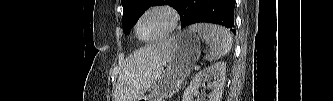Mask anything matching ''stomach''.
Instances as JSON below:
<instances>
[{
    "instance_id": "1",
    "label": "stomach",
    "mask_w": 333,
    "mask_h": 101,
    "mask_svg": "<svg viewBox=\"0 0 333 101\" xmlns=\"http://www.w3.org/2000/svg\"><path fill=\"white\" fill-rule=\"evenodd\" d=\"M168 53L159 75L150 87L151 93L136 101H164L172 97L190 74L200 57V38L185 30L168 38Z\"/></svg>"
}]
</instances>
